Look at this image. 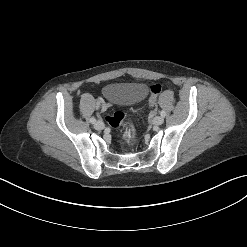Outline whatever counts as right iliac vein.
Listing matches in <instances>:
<instances>
[{
	"instance_id": "63e3f726",
	"label": "right iliac vein",
	"mask_w": 247,
	"mask_h": 247,
	"mask_svg": "<svg viewBox=\"0 0 247 247\" xmlns=\"http://www.w3.org/2000/svg\"><path fill=\"white\" fill-rule=\"evenodd\" d=\"M94 127H95V129H97V130H102L104 127H105V125H104V123L102 122V121H97L96 123H95V125H94Z\"/></svg>"
}]
</instances>
